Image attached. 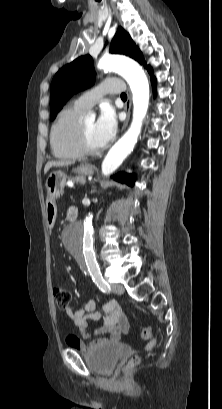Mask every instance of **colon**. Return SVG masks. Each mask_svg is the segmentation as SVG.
I'll return each mask as SVG.
<instances>
[{
  "instance_id": "obj_1",
  "label": "colon",
  "mask_w": 222,
  "mask_h": 409,
  "mask_svg": "<svg viewBox=\"0 0 222 409\" xmlns=\"http://www.w3.org/2000/svg\"><path fill=\"white\" fill-rule=\"evenodd\" d=\"M53 295L55 298L56 305L59 309H66L68 307L71 296L67 290L62 289V288H55L53 290ZM150 336H151V329L149 327L143 328L141 331L142 339L147 340L150 338ZM156 343H157V338L151 339L149 343L147 344V350L149 351L153 350ZM140 361L141 360L139 356L137 355L132 356L126 363L124 370L127 371V370H130L136 367L137 365L140 364Z\"/></svg>"
}]
</instances>
